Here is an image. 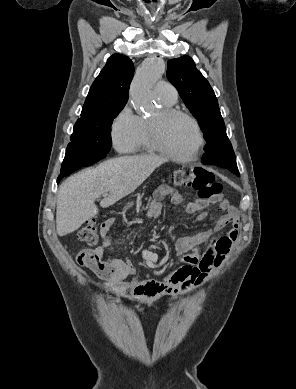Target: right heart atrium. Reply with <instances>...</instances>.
<instances>
[{"mask_svg": "<svg viewBox=\"0 0 296 389\" xmlns=\"http://www.w3.org/2000/svg\"><path fill=\"white\" fill-rule=\"evenodd\" d=\"M139 116L129 104L125 105L113 119L110 134L115 149L122 153L131 152L139 134Z\"/></svg>", "mask_w": 296, "mask_h": 389, "instance_id": "right-heart-atrium-1", "label": "right heart atrium"}]
</instances>
